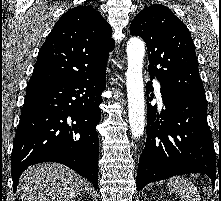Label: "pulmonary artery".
<instances>
[{"instance_id": "obj_1", "label": "pulmonary artery", "mask_w": 221, "mask_h": 201, "mask_svg": "<svg viewBox=\"0 0 221 201\" xmlns=\"http://www.w3.org/2000/svg\"><path fill=\"white\" fill-rule=\"evenodd\" d=\"M160 89H161V86H160L159 82L156 81L155 82V90H156V93H157L159 98H161Z\"/></svg>"}]
</instances>
